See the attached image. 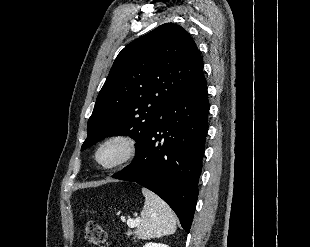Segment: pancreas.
<instances>
[{
  "mask_svg": "<svg viewBox=\"0 0 310 247\" xmlns=\"http://www.w3.org/2000/svg\"><path fill=\"white\" fill-rule=\"evenodd\" d=\"M126 234H127V236H130V235L133 234V232H132V231H128ZM134 239H135V238H134Z\"/></svg>",
  "mask_w": 310,
  "mask_h": 247,
  "instance_id": "1",
  "label": "pancreas"
}]
</instances>
